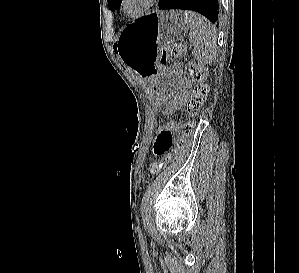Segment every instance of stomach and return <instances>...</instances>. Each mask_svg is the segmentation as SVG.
<instances>
[{
	"mask_svg": "<svg viewBox=\"0 0 299 273\" xmlns=\"http://www.w3.org/2000/svg\"><path fill=\"white\" fill-rule=\"evenodd\" d=\"M188 31L178 10L155 11L125 26L115 48L121 62L133 72L147 76L146 86L154 100H166L173 79L168 69L161 68L163 44L179 41Z\"/></svg>",
	"mask_w": 299,
	"mask_h": 273,
	"instance_id": "0dacf381",
	"label": "stomach"
}]
</instances>
